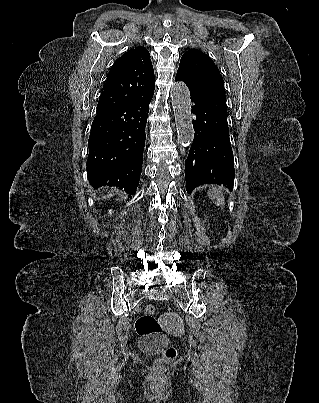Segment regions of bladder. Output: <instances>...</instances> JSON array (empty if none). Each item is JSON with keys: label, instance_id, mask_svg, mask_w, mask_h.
Instances as JSON below:
<instances>
[{"label": "bladder", "instance_id": "obj_1", "mask_svg": "<svg viewBox=\"0 0 319 403\" xmlns=\"http://www.w3.org/2000/svg\"><path fill=\"white\" fill-rule=\"evenodd\" d=\"M152 344H153V345H159L160 342H159V341H154Z\"/></svg>", "mask_w": 319, "mask_h": 403}]
</instances>
